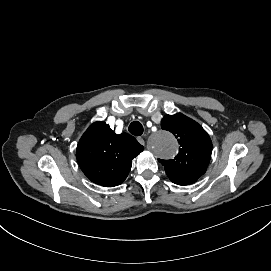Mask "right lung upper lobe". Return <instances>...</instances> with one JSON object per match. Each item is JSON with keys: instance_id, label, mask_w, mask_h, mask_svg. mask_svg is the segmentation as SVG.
<instances>
[{"instance_id": "cb5924a9", "label": "right lung upper lobe", "mask_w": 271, "mask_h": 271, "mask_svg": "<svg viewBox=\"0 0 271 271\" xmlns=\"http://www.w3.org/2000/svg\"><path fill=\"white\" fill-rule=\"evenodd\" d=\"M143 149L131 135H117L106 123L95 122L81 137L76 157L88 179L105 187H114L124 182L132 159Z\"/></svg>"}]
</instances>
